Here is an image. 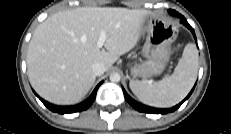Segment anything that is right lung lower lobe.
I'll return each mask as SVG.
<instances>
[{"label":"right lung lower lobe","mask_w":231,"mask_h":134,"mask_svg":"<svg viewBox=\"0 0 231 134\" xmlns=\"http://www.w3.org/2000/svg\"><path fill=\"white\" fill-rule=\"evenodd\" d=\"M102 84V82H100L96 88L94 89L93 93L91 94V96L85 100L84 102L75 105V106H56V105H52L46 101H44L43 99L40 98V100L43 102V104L49 108L51 111L53 112H58L60 114H68V113H73V112H79V111H83L86 110L87 108H89L91 106V104L94 102L95 98H96V93L97 90L99 88V86ZM37 95V94H36Z\"/></svg>","instance_id":"98d812e1"}]
</instances>
